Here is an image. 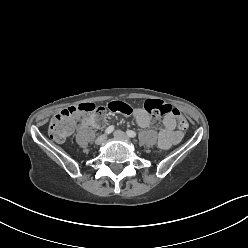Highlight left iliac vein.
I'll use <instances>...</instances> for the list:
<instances>
[{"instance_id":"obj_1","label":"left iliac vein","mask_w":248,"mask_h":248,"mask_svg":"<svg viewBox=\"0 0 248 248\" xmlns=\"http://www.w3.org/2000/svg\"><path fill=\"white\" fill-rule=\"evenodd\" d=\"M113 135H114L115 138H117L119 140H124V141L130 142V138L124 132H122L121 130H116L113 133Z\"/></svg>"}]
</instances>
